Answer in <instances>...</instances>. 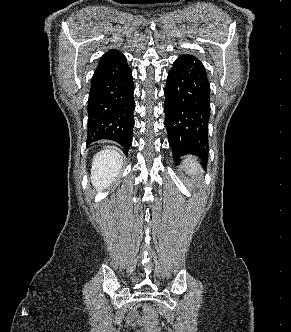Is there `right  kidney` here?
<instances>
[{
    "label": "right kidney",
    "mask_w": 291,
    "mask_h": 332,
    "mask_svg": "<svg viewBox=\"0 0 291 332\" xmlns=\"http://www.w3.org/2000/svg\"><path fill=\"white\" fill-rule=\"evenodd\" d=\"M121 165V155L114 147L106 148L95 155L92 162L91 181L97 191L101 192L110 186L118 176Z\"/></svg>",
    "instance_id": "1"
}]
</instances>
